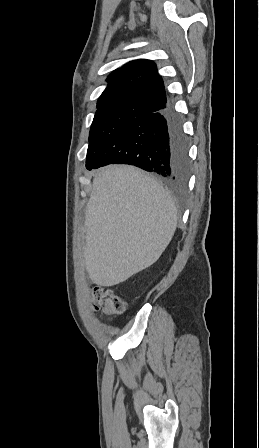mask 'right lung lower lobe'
Instances as JSON below:
<instances>
[{
    "mask_svg": "<svg viewBox=\"0 0 259 448\" xmlns=\"http://www.w3.org/2000/svg\"><path fill=\"white\" fill-rule=\"evenodd\" d=\"M187 148L180 118L169 103L130 122L89 170L108 164H130L157 173L168 183L179 186L188 173Z\"/></svg>",
    "mask_w": 259,
    "mask_h": 448,
    "instance_id": "obj_1",
    "label": "right lung lower lobe"
}]
</instances>
